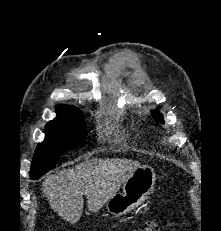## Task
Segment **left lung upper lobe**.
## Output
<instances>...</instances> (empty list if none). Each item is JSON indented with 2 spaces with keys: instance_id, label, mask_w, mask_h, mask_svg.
I'll use <instances>...</instances> for the list:
<instances>
[{
  "instance_id": "left-lung-upper-lobe-1",
  "label": "left lung upper lobe",
  "mask_w": 221,
  "mask_h": 231,
  "mask_svg": "<svg viewBox=\"0 0 221 231\" xmlns=\"http://www.w3.org/2000/svg\"><path fill=\"white\" fill-rule=\"evenodd\" d=\"M152 115L161 123H164L162 115L158 111H151Z\"/></svg>"
}]
</instances>
